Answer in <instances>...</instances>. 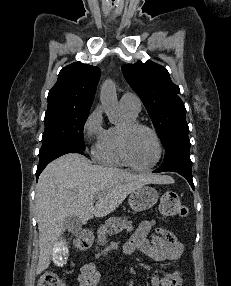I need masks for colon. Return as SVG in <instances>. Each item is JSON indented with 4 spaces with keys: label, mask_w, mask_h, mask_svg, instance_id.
<instances>
[{
    "label": "colon",
    "mask_w": 231,
    "mask_h": 286,
    "mask_svg": "<svg viewBox=\"0 0 231 286\" xmlns=\"http://www.w3.org/2000/svg\"><path fill=\"white\" fill-rule=\"evenodd\" d=\"M186 212L177 193L169 191L163 194L160 201V213L163 217H184ZM37 286H65V283L58 274L49 271L40 276Z\"/></svg>",
    "instance_id": "obj_1"
}]
</instances>
